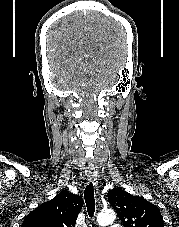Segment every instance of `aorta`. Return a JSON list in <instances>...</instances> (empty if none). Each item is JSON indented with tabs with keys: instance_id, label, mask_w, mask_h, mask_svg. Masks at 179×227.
Here are the masks:
<instances>
[{
	"instance_id": "1",
	"label": "aorta",
	"mask_w": 179,
	"mask_h": 227,
	"mask_svg": "<svg viewBox=\"0 0 179 227\" xmlns=\"http://www.w3.org/2000/svg\"><path fill=\"white\" fill-rule=\"evenodd\" d=\"M115 218H116L115 212L111 209H107V210L101 211L97 215V222H98L99 226L105 227L109 224H112L114 222Z\"/></svg>"
}]
</instances>
